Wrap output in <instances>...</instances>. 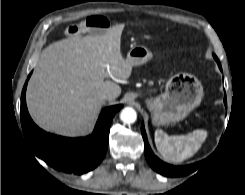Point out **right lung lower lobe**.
I'll return each mask as SVG.
<instances>
[{"instance_id":"right-lung-lower-lobe-1","label":"right lung lower lobe","mask_w":245,"mask_h":195,"mask_svg":"<svg viewBox=\"0 0 245 195\" xmlns=\"http://www.w3.org/2000/svg\"><path fill=\"white\" fill-rule=\"evenodd\" d=\"M26 87L27 81L21 94V125L33 153L52 168L65 173L80 175L96 168L105 157L110 124L122 105L105 108L90 136L66 138L47 133L34 124L26 106Z\"/></svg>"}]
</instances>
